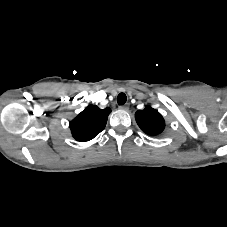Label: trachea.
<instances>
[{
  "instance_id": "3493384b",
  "label": "trachea",
  "mask_w": 227,
  "mask_h": 227,
  "mask_svg": "<svg viewBox=\"0 0 227 227\" xmlns=\"http://www.w3.org/2000/svg\"><path fill=\"white\" fill-rule=\"evenodd\" d=\"M127 101V97L124 93H120L118 96H117V103L119 105H124Z\"/></svg>"
}]
</instances>
